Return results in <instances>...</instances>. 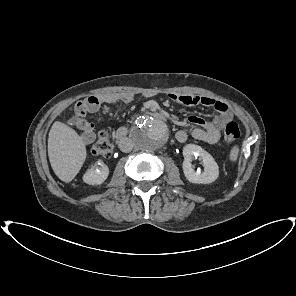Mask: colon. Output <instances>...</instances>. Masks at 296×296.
Returning a JSON list of instances; mask_svg holds the SVG:
<instances>
[{
	"mask_svg": "<svg viewBox=\"0 0 296 296\" xmlns=\"http://www.w3.org/2000/svg\"><path fill=\"white\" fill-rule=\"evenodd\" d=\"M79 112L84 110L81 107H78ZM240 136V129L237 123L229 122L224 129V139L225 141L232 143L237 140ZM113 152V147L110 142L109 136L105 132H101L92 146V153L101 157H110Z\"/></svg>",
	"mask_w": 296,
	"mask_h": 296,
	"instance_id": "5ec220e1",
	"label": "colon"
}]
</instances>
